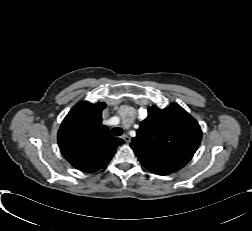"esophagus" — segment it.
<instances>
[{
	"mask_svg": "<svg viewBox=\"0 0 252 231\" xmlns=\"http://www.w3.org/2000/svg\"><path fill=\"white\" fill-rule=\"evenodd\" d=\"M122 139L126 142V143H130L131 138L127 135V134H123L122 135Z\"/></svg>",
	"mask_w": 252,
	"mask_h": 231,
	"instance_id": "obj_1",
	"label": "esophagus"
}]
</instances>
